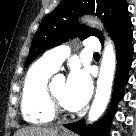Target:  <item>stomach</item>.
Returning <instances> with one entry per match:
<instances>
[{
    "mask_svg": "<svg viewBox=\"0 0 136 136\" xmlns=\"http://www.w3.org/2000/svg\"><path fill=\"white\" fill-rule=\"evenodd\" d=\"M56 136H71V135H69L67 133H60V134H57Z\"/></svg>",
    "mask_w": 136,
    "mask_h": 136,
    "instance_id": "stomach-1",
    "label": "stomach"
}]
</instances>
